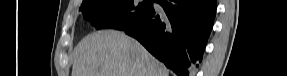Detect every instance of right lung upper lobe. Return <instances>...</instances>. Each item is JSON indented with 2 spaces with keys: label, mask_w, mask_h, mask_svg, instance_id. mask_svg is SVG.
<instances>
[{
  "label": "right lung upper lobe",
  "mask_w": 287,
  "mask_h": 76,
  "mask_svg": "<svg viewBox=\"0 0 287 76\" xmlns=\"http://www.w3.org/2000/svg\"><path fill=\"white\" fill-rule=\"evenodd\" d=\"M86 1H88V0H83V2H82V3L86 2Z\"/></svg>",
  "instance_id": "1"
}]
</instances>
